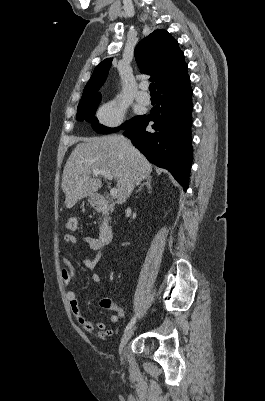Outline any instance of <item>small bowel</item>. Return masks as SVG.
Instances as JSON below:
<instances>
[{"label":"small bowel","mask_w":265,"mask_h":401,"mask_svg":"<svg viewBox=\"0 0 265 401\" xmlns=\"http://www.w3.org/2000/svg\"><path fill=\"white\" fill-rule=\"evenodd\" d=\"M63 241L66 244L75 245L77 242V238L74 235L66 234L63 237ZM83 241L87 245V247L94 252V257L91 259L85 258L82 260V263L85 267H87L89 269H94L101 259L104 245L102 244V242L100 241L99 238L92 237V236H84ZM61 275H62L63 282L66 286H70L76 277V270H75L73 264L71 263V261L67 258L63 259ZM91 279L95 283L102 282V277L97 273H94L92 275ZM66 298H67L69 307L72 311L74 318L86 332H88V333L96 332L100 339H105V338L111 337L113 335L112 330L105 329V324L103 322L90 321L84 317L83 313L81 312V310L79 308L78 298L74 291H72V290L67 291ZM103 301L104 300L101 301L102 306H104ZM122 317H123V310L118 309L117 315H113L111 317V322L118 323Z\"/></svg>","instance_id":"obj_1"}]
</instances>
